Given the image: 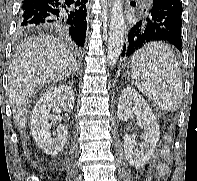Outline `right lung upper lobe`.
I'll list each match as a JSON object with an SVG mask.
<instances>
[{
    "label": "right lung upper lobe",
    "mask_w": 197,
    "mask_h": 181,
    "mask_svg": "<svg viewBox=\"0 0 197 181\" xmlns=\"http://www.w3.org/2000/svg\"><path fill=\"white\" fill-rule=\"evenodd\" d=\"M32 30H38V29L33 28V27H24V28H21V31H23V32L32 31Z\"/></svg>",
    "instance_id": "1"
}]
</instances>
